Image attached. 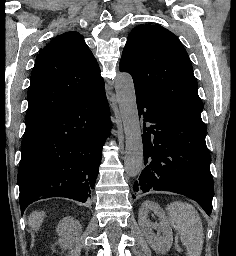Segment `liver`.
Returning a JSON list of instances; mask_svg holds the SVG:
<instances>
[{
	"label": "liver",
	"instance_id": "obj_1",
	"mask_svg": "<svg viewBox=\"0 0 236 256\" xmlns=\"http://www.w3.org/2000/svg\"><path fill=\"white\" fill-rule=\"evenodd\" d=\"M45 212H32L28 218V224L33 230H39L43 220Z\"/></svg>",
	"mask_w": 236,
	"mask_h": 256
}]
</instances>
